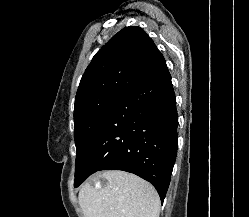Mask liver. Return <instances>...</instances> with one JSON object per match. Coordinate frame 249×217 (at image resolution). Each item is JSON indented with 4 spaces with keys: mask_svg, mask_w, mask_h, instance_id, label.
Here are the masks:
<instances>
[{
    "mask_svg": "<svg viewBox=\"0 0 249 217\" xmlns=\"http://www.w3.org/2000/svg\"><path fill=\"white\" fill-rule=\"evenodd\" d=\"M100 179L106 181L102 185ZM84 217H159L160 198L152 185L133 174L108 170L84 184L78 195Z\"/></svg>",
    "mask_w": 249,
    "mask_h": 217,
    "instance_id": "obj_1",
    "label": "liver"
}]
</instances>
